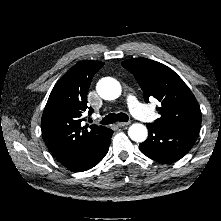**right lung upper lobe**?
Instances as JSON below:
<instances>
[{
    "label": "right lung upper lobe",
    "mask_w": 221,
    "mask_h": 221,
    "mask_svg": "<svg viewBox=\"0 0 221 221\" xmlns=\"http://www.w3.org/2000/svg\"><path fill=\"white\" fill-rule=\"evenodd\" d=\"M104 65L80 61L54 86L42 119V134L53 155L61 162L75 159L99 143L109 131L97 125H81L87 110V92L94 74ZM89 107V113H92Z\"/></svg>",
    "instance_id": "obj_1"
}]
</instances>
